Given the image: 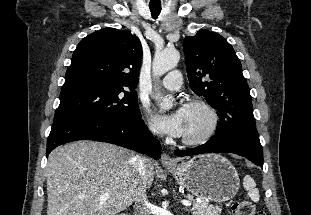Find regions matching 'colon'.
Wrapping results in <instances>:
<instances>
[{"label": "colon", "mask_w": 311, "mask_h": 215, "mask_svg": "<svg viewBox=\"0 0 311 215\" xmlns=\"http://www.w3.org/2000/svg\"><path fill=\"white\" fill-rule=\"evenodd\" d=\"M233 215H266L263 211L256 210L255 205L248 200L238 201L232 206Z\"/></svg>", "instance_id": "obj_1"}]
</instances>
